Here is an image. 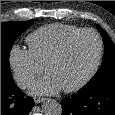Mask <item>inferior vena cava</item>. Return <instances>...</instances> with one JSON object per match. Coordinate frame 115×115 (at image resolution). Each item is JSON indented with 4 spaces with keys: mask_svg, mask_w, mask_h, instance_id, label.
Segmentation results:
<instances>
[{
    "mask_svg": "<svg viewBox=\"0 0 115 115\" xmlns=\"http://www.w3.org/2000/svg\"><path fill=\"white\" fill-rule=\"evenodd\" d=\"M27 83H28V80H27V79H20V80H18V84H19V86H20L21 88H25L26 85H27Z\"/></svg>",
    "mask_w": 115,
    "mask_h": 115,
    "instance_id": "obj_1",
    "label": "inferior vena cava"
}]
</instances>
